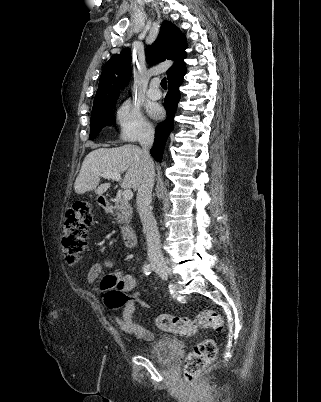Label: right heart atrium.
Listing matches in <instances>:
<instances>
[{
	"instance_id": "obj_1",
	"label": "right heart atrium",
	"mask_w": 321,
	"mask_h": 402,
	"mask_svg": "<svg viewBox=\"0 0 321 402\" xmlns=\"http://www.w3.org/2000/svg\"><path fill=\"white\" fill-rule=\"evenodd\" d=\"M114 117L123 141H143L150 138L153 133L151 124L140 109L129 101H125L116 109Z\"/></svg>"
}]
</instances>
